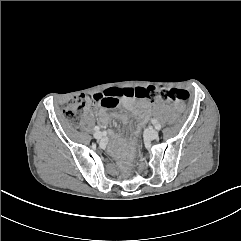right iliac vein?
<instances>
[{
    "instance_id": "63e3f726",
    "label": "right iliac vein",
    "mask_w": 241,
    "mask_h": 241,
    "mask_svg": "<svg viewBox=\"0 0 241 241\" xmlns=\"http://www.w3.org/2000/svg\"><path fill=\"white\" fill-rule=\"evenodd\" d=\"M94 137L96 139H101L103 137V133L100 132V131H97V132L94 133Z\"/></svg>"
}]
</instances>
